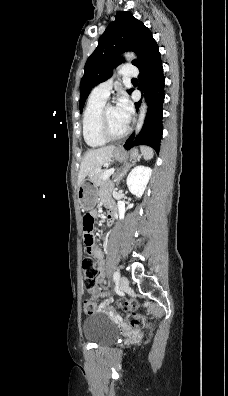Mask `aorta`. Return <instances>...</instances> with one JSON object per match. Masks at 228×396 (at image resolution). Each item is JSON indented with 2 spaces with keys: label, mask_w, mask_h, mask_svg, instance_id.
Wrapping results in <instances>:
<instances>
[{
  "label": "aorta",
  "mask_w": 228,
  "mask_h": 396,
  "mask_svg": "<svg viewBox=\"0 0 228 396\" xmlns=\"http://www.w3.org/2000/svg\"><path fill=\"white\" fill-rule=\"evenodd\" d=\"M124 56L128 60H133V59L136 58L135 54L134 53H130V52L125 53ZM146 113H147V105H146V103L143 100V102H142V104L140 106L138 122H137L136 129H135L136 134L139 133V131L141 130V128L143 126Z\"/></svg>",
  "instance_id": "obj_1"
}]
</instances>
